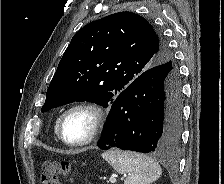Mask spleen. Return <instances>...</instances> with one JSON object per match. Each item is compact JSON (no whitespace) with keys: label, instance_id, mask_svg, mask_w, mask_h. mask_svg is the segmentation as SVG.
Masks as SVG:
<instances>
[{"label":"spleen","instance_id":"spleen-1","mask_svg":"<svg viewBox=\"0 0 224 184\" xmlns=\"http://www.w3.org/2000/svg\"><path fill=\"white\" fill-rule=\"evenodd\" d=\"M102 157L118 173L127 175L124 184H150L162 173L160 165L143 154L111 150L104 152Z\"/></svg>","mask_w":224,"mask_h":184}]
</instances>
